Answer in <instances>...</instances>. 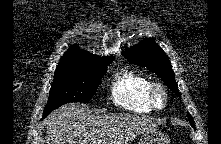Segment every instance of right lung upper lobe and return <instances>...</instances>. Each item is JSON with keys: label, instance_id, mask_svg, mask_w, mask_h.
Wrapping results in <instances>:
<instances>
[{"label": "right lung upper lobe", "instance_id": "cb5924a9", "mask_svg": "<svg viewBox=\"0 0 221 144\" xmlns=\"http://www.w3.org/2000/svg\"><path fill=\"white\" fill-rule=\"evenodd\" d=\"M109 61H113V56L101 57L81 50L76 46H72L71 49L65 52L61 57L58 66L98 65Z\"/></svg>", "mask_w": 221, "mask_h": 144}]
</instances>
